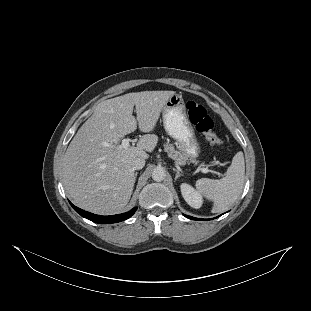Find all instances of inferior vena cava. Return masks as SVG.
Returning a JSON list of instances; mask_svg holds the SVG:
<instances>
[{
	"label": "inferior vena cava",
	"instance_id": "obj_1",
	"mask_svg": "<svg viewBox=\"0 0 311 311\" xmlns=\"http://www.w3.org/2000/svg\"><path fill=\"white\" fill-rule=\"evenodd\" d=\"M133 170H140L145 166V159L136 157L131 162Z\"/></svg>",
	"mask_w": 311,
	"mask_h": 311
}]
</instances>
